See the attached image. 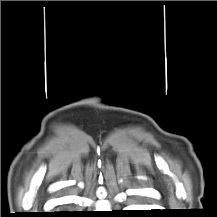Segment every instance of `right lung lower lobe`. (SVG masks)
Returning a JSON list of instances; mask_svg holds the SVG:
<instances>
[{
	"mask_svg": "<svg viewBox=\"0 0 217 217\" xmlns=\"http://www.w3.org/2000/svg\"><path fill=\"white\" fill-rule=\"evenodd\" d=\"M53 216H55V217H77L78 215L73 214V213H59V214H55Z\"/></svg>",
	"mask_w": 217,
	"mask_h": 217,
	"instance_id": "1",
	"label": "right lung lower lobe"
}]
</instances>
